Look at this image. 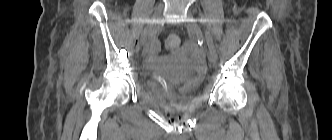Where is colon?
Returning <instances> with one entry per match:
<instances>
[{
  "label": "colon",
  "instance_id": "5ec220e1",
  "mask_svg": "<svg viewBox=\"0 0 332 140\" xmlns=\"http://www.w3.org/2000/svg\"><path fill=\"white\" fill-rule=\"evenodd\" d=\"M180 40L177 36H169L164 43V49L168 52L175 51L179 46Z\"/></svg>",
  "mask_w": 332,
  "mask_h": 140
}]
</instances>
